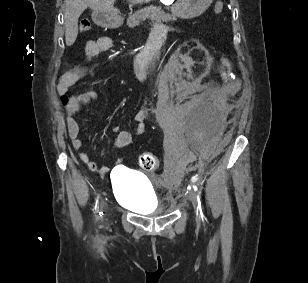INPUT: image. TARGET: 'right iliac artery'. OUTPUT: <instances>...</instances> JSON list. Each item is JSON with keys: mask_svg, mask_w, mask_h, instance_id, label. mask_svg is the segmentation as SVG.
<instances>
[{"mask_svg": "<svg viewBox=\"0 0 308 283\" xmlns=\"http://www.w3.org/2000/svg\"><path fill=\"white\" fill-rule=\"evenodd\" d=\"M102 207H103V204L102 202H98V200L96 201V205H95V212L97 213V216H101V214L103 215V212H102Z\"/></svg>", "mask_w": 308, "mask_h": 283, "instance_id": "1", "label": "right iliac artery"}]
</instances>
